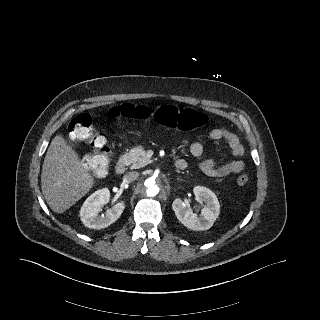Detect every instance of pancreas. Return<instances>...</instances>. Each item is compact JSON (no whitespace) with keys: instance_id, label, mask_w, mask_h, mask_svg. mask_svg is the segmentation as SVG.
<instances>
[{"instance_id":"cf45deb5","label":"pancreas","mask_w":320,"mask_h":320,"mask_svg":"<svg viewBox=\"0 0 320 320\" xmlns=\"http://www.w3.org/2000/svg\"><path fill=\"white\" fill-rule=\"evenodd\" d=\"M120 160L126 166H129L130 169L145 167L149 163L145 151L140 146H136L129 150V152L121 156Z\"/></svg>"}]
</instances>
